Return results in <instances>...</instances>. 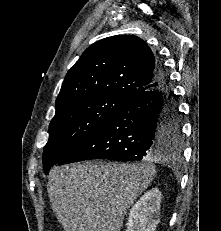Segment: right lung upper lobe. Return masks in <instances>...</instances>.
I'll return each instance as SVG.
<instances>
[{"mask_svg": "<svg viewBox=\"0 0 221 231\" xmlns=\"http://www.w3.org/2000/svg\"><path fill=\"white\" fill-rule=\"evenodd\" d=\"M155 58L139 37L117 35L89 46L68 71L56 99V111L90 96L129 98L156 86Z\"/></svg>", "mask_w": 221, "mask_h": 231, "instance_id": "obj_1", "label": "right lung upper lobe"}]
</instances>
